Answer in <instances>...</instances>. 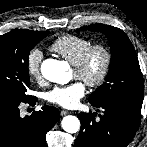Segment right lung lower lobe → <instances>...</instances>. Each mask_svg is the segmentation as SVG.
<instances>
[{"mask_svg": "<svg viewBox=\"0 0 147 147\" xmlns=\"http://www.w3.org/2000/svg\"><path fill=\"white\" fill-rule=\"evenodd\" d=\"M37 98L24 103L34 105ZM20 103L0 102V147H46V133L60 117L57 108L44 106L31 116L20 117Z\"/></svg>", "mask_w": 147, "mask_h": 147, "instance_id": "right-lung-lower-lobe-1", "label": "right lung lower lobe"}]
</instances>
